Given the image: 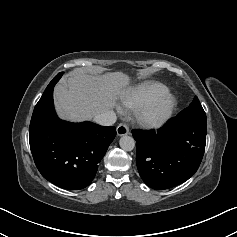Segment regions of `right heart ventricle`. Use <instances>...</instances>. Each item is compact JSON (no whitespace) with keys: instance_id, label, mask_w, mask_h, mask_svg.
Wrapping results in <instances>:
<instances>
[{"instance_id":"e07e8e85","label":"right heart ventricle","mask_w":237,"mask_h":237,"mask_svg":"<svg viewBox=\"0 0 237 237\" xmlns=\"http://www.w3.org/2000/svg\"><path fill=\"white\" fill-rule=\"evenodd\" d=\"M168 93V88L159 82L147 81L129 88L121 97L125 109L134 110L156 97Z\"/></svg>"}]
</instances>
